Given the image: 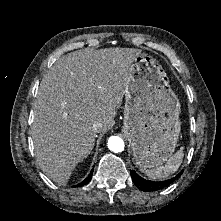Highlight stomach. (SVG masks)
<instances>
[{
    "mask_svg": "<svg viewBox=\"0 0 221 221\" xmlns=\"http://www.w3.org/2000/svg\"><path fill=\"white\" fill-rule=\"evenodd\" d=\"M123 133L141 171L162 166L175 151L181 122L180 103L169 77L153 56L132 62L125 87Z\"/></svg>",
    "mask_w": 221,
    "mask_h": 221,
    "instance_id": "obj_1",
    "label": "stomach"
}]
</instances>
